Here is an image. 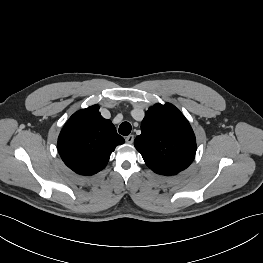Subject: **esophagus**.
<instances>
[{
	"label": "esophagus",
	"instance_id": "obj_1",
	"mask_svg": "<svg viewBox=\"0 0 263 263\" xmlns=\"http://www.w3.org/2000/svg\"><path fill=\"white\" fill-rule=\"evenodd\" d=\"M125 141L128 143V144H132L133 141H134V135H129L125 138Z\"/></svg>",
	"mask_w": 263,
	"mask_h": 263
}]
</instances>
